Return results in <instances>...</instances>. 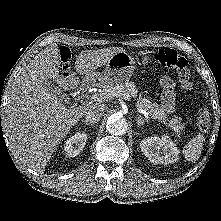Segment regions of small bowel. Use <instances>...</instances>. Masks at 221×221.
<instances>
[{
  "label": "small bowel",
  "mask_w": 221,
  "mask_h": 221,
  "mask_svg": "<svg viewBox=\"0 0 221 221\" xmlns=\"http://www.w3.org/2000/svg\"><path fill=\"white\" fill-rule=\"evenodd\" d=\"M161 106L166 112H172L174 110V106H175L174 91L162 93Z\"/></svg>",
  "instance_id": "c3829d8e"
}]
</instances>
